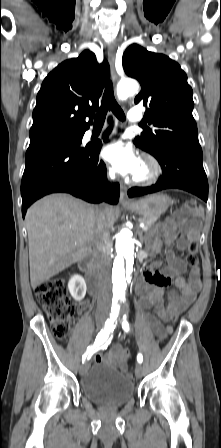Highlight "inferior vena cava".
<instances>
[{"label":"inferior vena cava","mask_w":221,"mask_h":448,"mask_svg":"<svg viewBox=\"0 0 221 448\" xmlns=\"http://www.w3.org/2000/svg\"><path fill=\"white\" fill-rule=\"evenodd\" d=\"M113 178L114 175H111ZM105 204L96 209L97 224L93 242V253L99 272V296L97 313L107 315L110 311L111 289V241L110 232L105 224Z\"/></svg>","instance_id":"602c4592"}]
</instances>
